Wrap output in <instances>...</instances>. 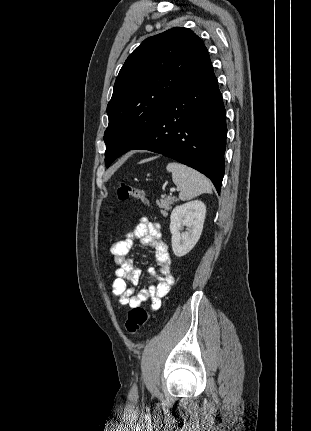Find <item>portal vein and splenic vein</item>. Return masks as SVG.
I'll use <instances>...</instances> for the list:
<instances>
[{"mask_svg":"<svg viewBox=\"0 0 311 431\" xmlns=\"http://www.w3.org/2000/svg\"><path fill=\"white\" fill-rule=\"evenodd\" d=\"M177 188H170V192H176ZM172 196V194H170Z\"/></svg>","mask_w":311,"mask_h":431,"instance_id":"portal-vein-and-splenic-vein-1","label":"portal vein and splenic vein"}]
</instances>
